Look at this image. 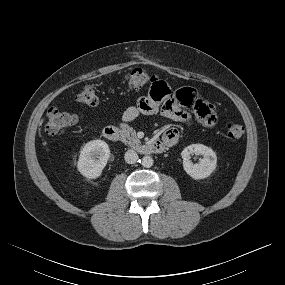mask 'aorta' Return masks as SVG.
Returning <instances> with one entry per match:
<instances>
[{"instance_id":"762f6f07","label":"aorta","mask_w":285,"mask_h":285,"mask_svg":"<svg viewBox=\"0 0 285 285\" xmlns=\"http://www.w3.org/2000/svg\"><path fill=\"white\" fill-rule=\"evenodd\" d=\"M142 165L144 166V167H146V168H150L152 165H153V163H154V161H153V159H152V157H150V156H144L143 158H142Z\"/></svg>"}]
</instances>
